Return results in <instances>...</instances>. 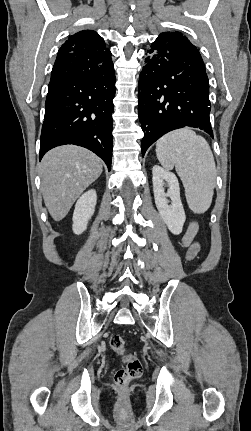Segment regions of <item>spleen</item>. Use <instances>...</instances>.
Instances as JSON below:
<instances>
[{"mask_svg":"<svg viewBox=\"0 0 251 431\" xmlns=\"http://www.w3.org/2000/svg\"><path fill=\"white\" fill-rule=\"evenodd\" d=\"M156 155L165 169L175 167L189 208L198 214L207 211L216 179L215 161L207 141L191 129H178L157 141Z\"/></svg>","mask_w":251,"mask_h":431,"instance_id":"3e777b00","label":"spleen"}]
</instances>
